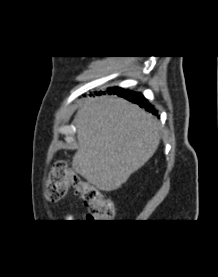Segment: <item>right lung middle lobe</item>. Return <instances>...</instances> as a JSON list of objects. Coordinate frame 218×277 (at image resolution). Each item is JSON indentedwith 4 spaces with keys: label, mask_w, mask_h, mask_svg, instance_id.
Instances as JSON below:
<instances>
[{
    "label": "right lung middle lobe",
    "mask_w": 218,
    "mask_h": 277,
    "mask_svg": "<svg viewBox=\"0 0 218 277\" xmlns=\"http://www.w3.org/2000/svg\"><path fill=\"white\" fill-rule=\"evenodd\" d=\"M112 90H119V88L110 89V90H108V91H112Z\"/></svg>",
    "instance_id": "obj_1"
}]
</instances>
